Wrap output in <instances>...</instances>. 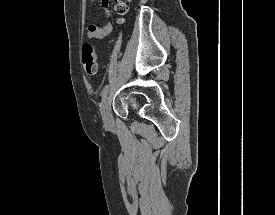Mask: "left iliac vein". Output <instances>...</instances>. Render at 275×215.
<instances>
[{"label": "left iliac vein", "mask_w": 275, "mask_h": 215, "mask_svg": "<svg viewBox=\"0 0 275 215\" xmlns=\"http://www.w3.org/2000/svg\"><path fill=\"white\" fill-rule=\"evenodd\" d=\"M100 111H101L104 126L106 128H111L113 125V118L109 109V100L107 97H104L100 106Z\"/></svg>", "instance_id": "left-iliac-vein-1"}]
</instances>
